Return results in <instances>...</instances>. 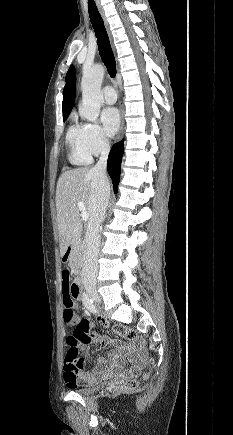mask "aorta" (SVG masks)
<instances>
[{
  "label": "aorta",
  "instance_id": "762f6f07",
  "mask_svg": "<svg viewBox=\"0 0 233 435\" xmlns=\"http://www.w3.org/2000/svg\"><path fill=\"white\" fill-rule=\"evenodd\" d=\"M104 72L102 65H94L83 70L81 80L82 104L79 107V113L82 118L91 122L98 119L103 102L101 84Z\"/></svg>",
  "mask_w": 233,
  "mask_h": 435
}]
</instances>
